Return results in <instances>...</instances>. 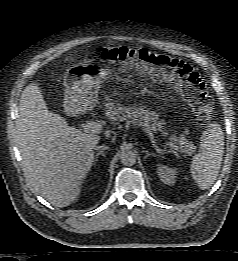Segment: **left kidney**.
I'll use <instances>...</instances> for the list:
<instances>
[{
	"instance_id": "obj_1",
	"label": "left kidney",
	"mask_w": 238,
	"mask_h": 261,
	"mask_svg": "<svg viewBox=\"0 0 238 261\" xmlns=\"http://www.w3.org/2000/svg\"><path fill=\"white\" fill-rule=\"evenodd\" d=\"M157 174L164 184L173 185L175 183L177 169L164 164H157Z\"/></svg>"
}]
</instances>
